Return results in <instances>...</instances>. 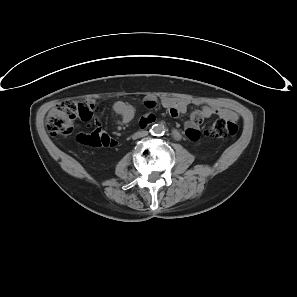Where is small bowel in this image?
Returning a JSON list of instances; mask_svg holds the SVG:
<instances>
[{
	"label": "small bowel",
	"mask_w": 297,
	"mask_h": 297,
	"mask_svg": "<svg viewBox=\"0 0 297 297\" xmlns=\"http://www.w3.org/2000/svg\"><path fill=\"white\" fill-rule=\"evenodd\" d=\"M161 103L163 107L166 108L174 117L185 113L189 105V102L185 99H175L169 97L163 98ZM194 103L200 105V108L191 113L190 119L185 124L186 135L191 140H197L200 137L198 126L204 119L210 118L214 114L228 118L235 117L231 111L221 107L209 106L197 101ZM144 104L147 108H153L156 105V101L152 98H147ZM113 109L118 115H120L123 123H128L134 118V108L126 102H116ZM153 120V115H148L142 119V124L147 125L153 122Z\"/></svg>",
	"instance_id": "c3829d8e"
}]
</instances>
